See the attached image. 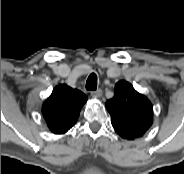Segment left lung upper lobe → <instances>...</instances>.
<instances>
[{
  "instance_id": "left-lung-upper-lobe-1",
  "label": "left lung upper lobe",
  "mask_w": 184,
  "mask_h": 174,
  "mask_svg": "<svg viewBox=\"0 0 184 174\" xmlns=\"http://www.w3.org/2000/svg\"><path fill=\"white\" fill-rule=\"evenodd\" d=\"M106 108L112 126L122 138L141 137L152 125V104L127 81L116 83L114 96L106 102Z\"/></svg>"
}]
</instances>
